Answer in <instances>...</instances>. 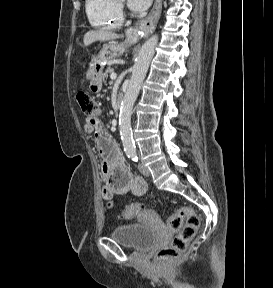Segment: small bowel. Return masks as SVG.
<instances>
[{
  "instance_id": "c3829d8e",
  "label": "small bowel",
  "mask_w": 273,
  "mask_h": 288,
  "mask_svg": "<svg viewBox=\"0 0 273 288\" xmlns=\"http://www.w3.org/2000/svg\"><path fill=\"white\" fill-rule=\"evenodd\" d=\"M83 128L85 132L94 133L102 158V176L107 182L102 189L103 199L111 202L117 195L131 193L135 196H142L145 194L147 190L145 180L130 173L116 144L104 132L100 120L89 116Z\"/></svg>"
}]
</instances>
